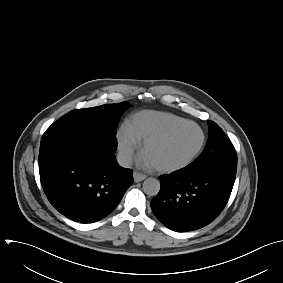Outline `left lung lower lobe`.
Segmentation results:
<instances>
[{"label": "left lung lower lobe", "mask_w": 283, "mask_h": 283, "mask_svg": "<svg viewBox=\"0 0 283 283\" xmlns=\"http://www.w3.org/2000/svg\"><path fill=\"white\" fill-rule=\"evenodd\" d=\"M236 172L185 167L161 176V188L151 208L167 228L186 232L211 223L224 209Z\"/></svg>", "instance_id": "obj_1"}]
</instances>
